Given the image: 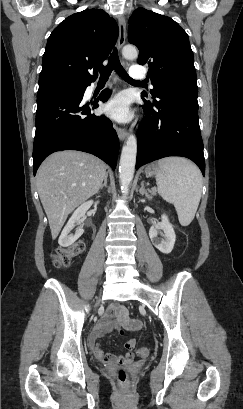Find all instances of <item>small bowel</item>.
<instances>
[{
  "mask_svg": "<svg viewBox=\"0 0 243 409\" xmlns=\"http://www.w3.org/2000/svg\"><path fill=\"white\" fill-rule=\"evenodd\" d=\"M140 327L141 321L138 319H130L124 305L113 304L104 312L97 326L92 331L88 339L89 349L99 361L105 364L111 365L115 362L128 363L134 357L133 350L136 345L134 339H129L124 343L127 352L123 356H114L105 353L100 347L99 339L104 334L112 331L124 333L125 331L139 330Z\"/></svg>",
  "mask_w": 243,
  "mask_h": 409,
  "instance_id": "c3829d8e",
  "label": "small bowel"
}]
</instances>
